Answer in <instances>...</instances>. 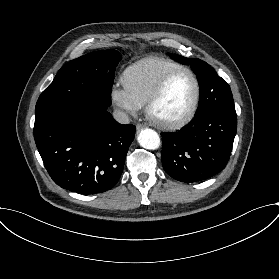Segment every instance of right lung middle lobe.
I'll list each match as a JSON object with an SVG mask.
<instances>
[{
  "instance_id": "1",
  "label": "right lung middle lobe",
  "mask_w": 279,
  "mask_h": 279,
  "mask_svg": "<svg viewBox=\"0 0 279 279\" xmlns=\"http://www.w3.org/2000/svg\"><path fill=\"white\" fill-rule=\"evenodd\" d=\"M121 58L116 50H102L66 63L40 95L35 111L77 95L92 96L109 107L115 68Z\"/></svg>"
}]
</instances>
